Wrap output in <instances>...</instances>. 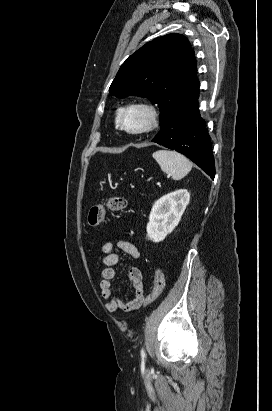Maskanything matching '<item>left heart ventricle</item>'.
<instances>
[{
	"label": "left heart ventricle",
	"instance_id": "left-heart-ventricle-1",
	"mask_svg": "<svg viewBox=\"0 0 272 411\" xmlns=\"http://www.w3.org/2000/svg\"><path fill=\"white\" fill-rule=\"evenodd\" d=\"M124 122L130 129L142 127L146 122V115L141 110H131L125 114Z\"/></svg>",
	"mask_w": 272,
	"mask_h": 411
}]
</instances>
